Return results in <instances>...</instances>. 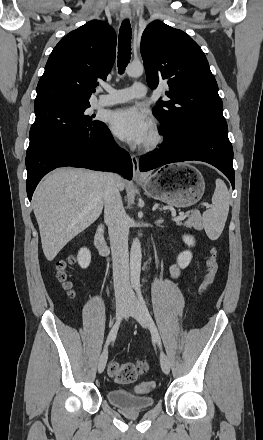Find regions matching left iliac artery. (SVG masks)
I'll return each instance as SVG.
<instances>
[{
    "label": "left iliac artery",
    "mask_w": 263,
    "mask_h": 440,
    "mask_svg": "<svg viewBox=\"0 0 263 440\" xmlns=\"http://www.w3.org/2000/svg\"><path fill=\"white\" fill-rule=\"evenodd\" d=\"M136 290H137L138 298H139V301H140V305H141L142 310H143V312H144V314L146 316V319L148 321V325L150 327L152 337H153L154 340H156L158 342L159 346L161 347V339H160L158 330H157L156 325H155V323H154V321H153V319H152V317H151V315H150V313L148 311V308H147V306L145 304V301H144L142 293H141V289L137 288Z\"/></svg>",
    "instance_id": "44dca946"
}]
</instances>
